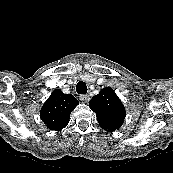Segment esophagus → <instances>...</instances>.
Segmentation results:
<instances>
[{"mask_svg":"<svg viewBox=\"0 0 173 173\" xmlns=\"http://www.w3.org/2000/svg\"><path fill=\"white\" fill-rule=\"evenodd\" d=\"M79 99L82 101V102H88L89 101V96L88 95H80Z\"/></svg>","mask_w":173,"mask_h":173,"instance_id":"1","label":"esophagus"}]
</instances>
